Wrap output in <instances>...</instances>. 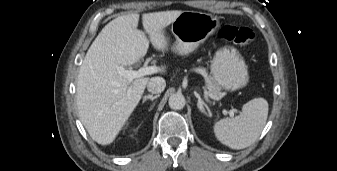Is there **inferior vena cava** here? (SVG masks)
Instances as JSON below:
<instances>
[{
  "label": "inferior vena cava",
  "instance_id": "inferior-vena-cava-1",
  "mask_svg": "<svg viewBox=\"0 0 337 171\" xmlns=\"http://www.w3.org/2000/svg\"><path fill=\"white\" fill-rule=\"evenodd\" d=\"M166 87V82L162 77H153L147 83V89L153 94L161 93Z\"/></svg>",
  "mask_w": 337,
  "mask_h": 171
}]
</instances>
